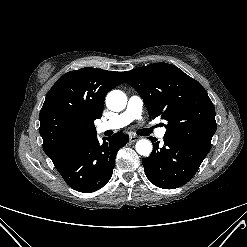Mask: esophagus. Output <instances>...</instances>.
Wrapping results in <instances>:
<instances>
[{"label":"esophagus","instance_id":"1","mask_svg":"<svg viewBox=\"0 0 247 247\" xmlns=\"http://www.w3.org/2000/svg\"><path fill=\"white\" fill-rule=\"evenodd\" d=\"M140 137L135 134H130L129 139L131 142H136Z\"/></svg>","mask_w":247,"mask_h":247}]
</instances>
